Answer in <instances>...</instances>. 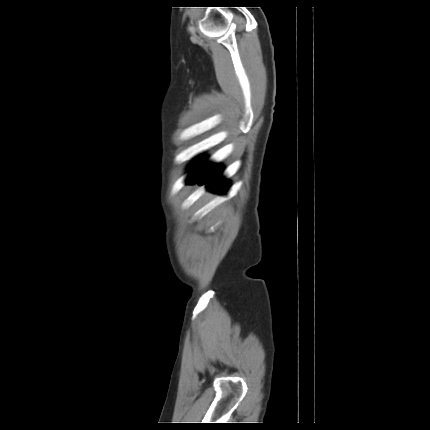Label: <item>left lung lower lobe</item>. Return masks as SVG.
<instances>
[{
	"instance_id": "left-lung-lower-lobe-1",
	"label": "left lung lower lobe",
	"mask_w": 430,
	"mask_h": 430,
	"mask_svg": "<svg viewBox=\"0 0 430 430\" xmlns=\"http://www.w3.org/2000/svg\"><path fill=\"white\" fill-rule=\"evenodd\" d=\"M192 173L187 179V183H196L203 185L207 183L208 189L225 193L228 190L229 183L221 177L222 166L213 163H203V160L195 162L192 167Z\"/></svg>"
}]
</instances>
